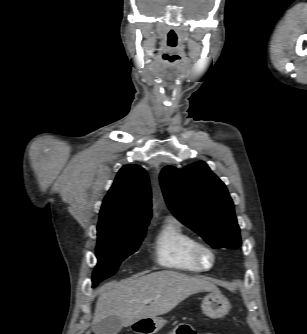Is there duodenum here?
I'll return each instance as SVG.
<instances>
[{
	"label": "duodenum",
	"instance_id": "410a0bca",
	"mask_svg": "<svg viewBox=\"0 0 307 334\" xmlns=\"http://www.w3.org/2000/svg\"><path fill=\"white\" fill-rule=\"evenodd\" d=\"M140 332H151V330H146V331H143V330H139Z\"/></svg>",
	"mask_w": 307,
	"mask_h": 334
}]
</instances>
